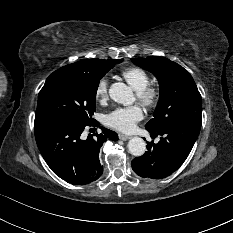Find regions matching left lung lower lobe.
Instances as JSON below:
<instances>
[{
  "label": "left lung lower lobe",
  "mask_w": 233,
  "mask_h": 233,
  "mask_svg": "<svg viewBox=\"0 0 233 233\" xmlns=\"http://www.w3.org/2000/svg\"><path fill=\"white\" fill-rule=\"evenodd\" d=\"M201 128V112L190 113L160 132L155 144L147 142V151L132 160V169L141 177L160 179L176 171L188 157Z\"/></svg>",
  "instance_id": "1"
}]
</instances>
